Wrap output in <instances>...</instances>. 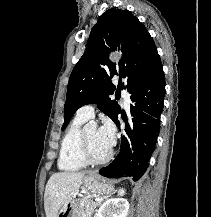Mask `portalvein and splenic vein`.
Here are the masks:
<instances>
[{
    "instance_id": "portal-vein-and-splenic-vein-1",
    "label": "portal vein and splenic vein",
    "mask_w": 211,
    "mask_h": 217,
    "mask_svg": "<svg viewBox=\"0 0 211 217\" xmlns=\"http://www.w3.org/2000/svg\"><path fill=\"white\" fill-rule=\"evenodd\" d=\"M95 201H96V202H101L102 200H101V199H95Z\"/></svg>"
}]
</instances>
